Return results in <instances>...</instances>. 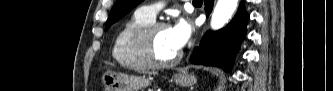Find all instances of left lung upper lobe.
<instances>
[{
    "mask_svg": "<svg viewBox=\"0 0 333 91\" xmlns=\"http://www.w3.org/2000/svg\"><path fill=\"white\" fill-rule=\"evenodd\" d=\"M142 0H116L114 7L108 17L105 30L126 15L131 9L138 5Z\"/></svg>",
    "mask_w": 333,
    "mask_h": 91,
    "instance_id": "left-lung-upper-lobe-1",
    "label": "left lung upper lobe"
}]
</instances>
